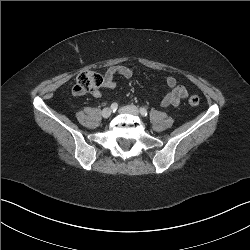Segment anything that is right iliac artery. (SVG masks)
Here are the masks:
<instances>
[{
    "label": "right iliac artery",
    "mask_w": 250,
    "mask_h": 250,
    "mask_svg": "<svg viewBox=\"0 0 250 250\" xmlns=\"http://www.w3.org/2000/svg\"><path fill=\"white\" fill-rule=\"evenodd\" d=\"M117 108H118V104H117V103H112V104H111V109H112L113 111H116Z\"/></svg>",
    "instance_id": "obj_1"
}]
</instances>
